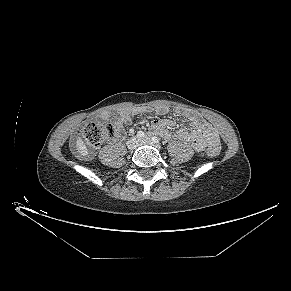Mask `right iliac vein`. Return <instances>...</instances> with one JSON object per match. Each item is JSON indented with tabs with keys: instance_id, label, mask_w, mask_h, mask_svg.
Segmentation results:
<instances>
[{
	"instance_id": "right-iliac-vein-1",
	"label": "right iliac vein",
	"mask_w": 291,
	"mask_h": 291,
	"mask_svg": "<svg viewBox=\"0 0 291 291\" xmlns=\"http://www.w3.org/2000/svg\"><path fill=\"white\" fill-rule=\"evenodd\" d=\"M138 146V140L136 138H131L127 142V147L130 150L135 149Z\"/></svg>"
}]
</instances>
